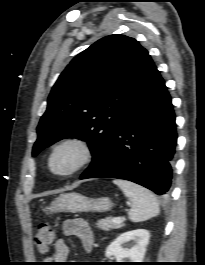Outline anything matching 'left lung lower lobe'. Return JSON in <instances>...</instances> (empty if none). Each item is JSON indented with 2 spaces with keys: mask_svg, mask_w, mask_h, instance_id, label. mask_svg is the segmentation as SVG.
Instances as JSON below:
<instances>
[{
  "mask_svg": "<svg viewBox=\"0 0 205 265\" xmlns=\"http://www.w3.org/2000/svg\"><path fill=\"white\" fill-rule=\"evenodd\" d=\"M177 142L171 97L156 66L80 179L118 178L167 194Z\"/></svg>",
  "mask_w": 205,
  "mask_h": 265,
  "instance_id": "1",
  "label": "left lung lower lobe"
}]
</instances>
